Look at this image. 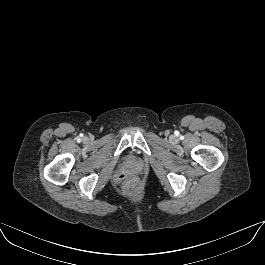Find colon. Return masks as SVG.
<instances>
[{
	"label": "colon",
	"instance_id": "colon-1",
	"mask_svg": "<svg viewBox=\"0 0 265 265\" xmlns=\"http://www.w3.org/2000/svg\"><path fill=\"white\" fill-rule=\"evenodd\" d=\"M136 188V183H129L128 185H127V189L128 190H134Z\"/></svg>",
	"mask_w": 265,
	"mask_h": 265
}]
</instances>
